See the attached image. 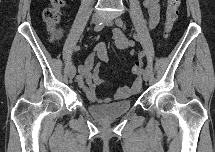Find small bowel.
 Wrapping results in <instances>:
<instances>
[{
	"label": "small bowel",
	"instance_id": "c3829d8e",
	"mask_svg": "<svg viewBox=\"0 0 215 152\" xmlns=\"http://www.w3.org/2000/svg\"><path fill=\"white\" fill-rule=\"evenodd\" d=\"M143 5L148 11L149 29H154L159 22V3L157 0H144ZM113 40L119 50H128L134 46V43L129 40L120 29H115L113 31ZM109 58V52L105 43L98 42L84 64L78 66L77 81L85 91L87 98L92 102L104 104L110 102V98L101 97L96 90L97 85L105 82L100 73V63L108 62ZM141 87V81L138 79L131 86L118 88L114 94V98L122 100L129 96L136 95L140 92Z\"/></svg>",
	"mask_w": 215,
	"mask_h": 152
}]
</instances>
